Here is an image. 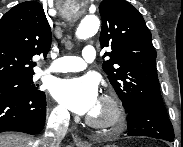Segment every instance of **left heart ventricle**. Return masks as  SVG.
Wrapping results in <instances>:
<instances>
[{
  "label": "left heart ventricle",
  "mask_w": 183,
  "mask_h": 147,
  "mask_svg": "<svg viewBox=\"0 0 183 147\" xmlns=\"http://www.w3.org/2000/svg\"><path fill=\"white\" fill-rule=\"evenodd\" d=\"M90 115L98 119H106L109 116V111L107 106L104 103L99 101L95 106V108L90 113Z\"/></svg>",
  "instance_id": "1"
}]
</instances>
